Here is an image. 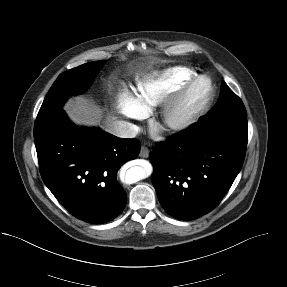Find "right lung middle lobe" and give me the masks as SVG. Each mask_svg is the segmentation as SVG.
<instances>
[{
  "label": "right lung middle lobe",
  "mask_w": 287,
  "mask_h": 287,
  "mask_svg": "<svg viewBox=\"0 0 287 287\" xmlns=\"http://www.w3.org/2000/svg\"><path fill=\"white\" fill-rule=\"evenodd\" d=\"M102 64L103 61L89 62L60 74L48 91L37 118L57 112L69 96L84 92Z\"/></svg>",
  "instance_id": "obj_1"
}]
</instances>
